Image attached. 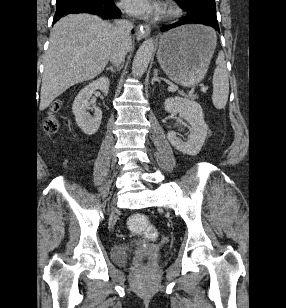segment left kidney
<instances>
[{
  "mask_svg": "<svg viewBox=\"0 0 286 308\" xmlns=\"http://www.w3.org/2000/svg\"><path fill=\"white\" fill-rule=\"evenodd\" d=\"M164 109L169 113H178L191 126L190 134L186 141L181 140L174 131L167 133V138L172 146L187 155H197L205 142L208 132L201 106L195 101L177 96L166 99Z\"/></svg>",
  "mask_w": 286,
  "mask_h": 308,
  "instance_id": "1",
  "label": "left kidney"
}]
</instances>
